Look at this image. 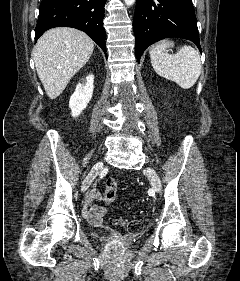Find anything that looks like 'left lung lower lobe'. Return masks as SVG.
I'll return each mask as SVG.
<instances>
[{
  "mask_svg": "<svg viewBox=\"0 0 240 281\" xmlns=\"http://www.w3.org/2000/svg\"><path fill=\"white\" fill-rule=\"evenodd\" d=\"M133 29L138 62L148 46L168 37L191 40L201 51L192 0H136Z\"/></svg>",
  "mask_w": 240,
  "mask_h": 281,
  "instance_id": "0a47b994",
  "label": "left lung lower lobe"
}]
</instances>
